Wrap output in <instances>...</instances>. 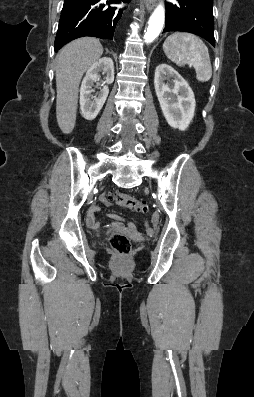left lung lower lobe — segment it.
I'll return each mask as SVG.
<instances>
[{"label": "left lung lower lobe", "mask_w": 254, "mask_h": 397, "mask_svg": "<svg viewBox=\"0 0 254 397\" xmlns=\"http://www.w3.org/2000/svg\"><path fill=\"white\" fill-rule=\"evenodd\" d=\"M185 31L205 38L215 46L213 0H178L166 3V24L163 30Z\"/></svg>", "instance_id": "left-lung-lower-lobe-1"}]
</instances>
